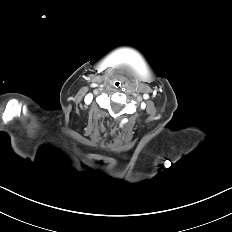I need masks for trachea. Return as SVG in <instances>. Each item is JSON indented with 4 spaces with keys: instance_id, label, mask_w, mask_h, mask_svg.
<instances>
[{
    "instance_id": "obj_1",
    "label": "trachea",
    "mask_w": 232,
    "mask_h": 232,
    "mask_svg": "<svg viewBox=\"0 0 232 232\" xmlns=\"http://www.w3.org/2000/svg\"><path fill=\"white\" fill-rule=\"evenodd\" d=\"M113 86L117 89L121 88L122 87V82L120 80H115L113 82Z\"/></svg>"
}]
</instances>
